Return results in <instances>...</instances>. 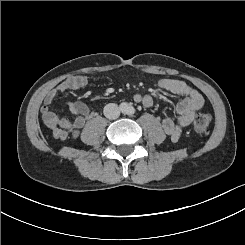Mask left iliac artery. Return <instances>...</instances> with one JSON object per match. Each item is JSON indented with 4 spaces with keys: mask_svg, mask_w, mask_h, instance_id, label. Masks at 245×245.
I'll list each match as a JSON object with an SVG mask.
<instances>
[{
    "mask_svg": "<svg viewBox=\"0 0 245 245\" xmlns=\"http://www.w3.org/2000/svg\"><path fill=\"white\" fill-rule=\"evenodd\" d=\"M127 115H134L135 114V108L133 106H129L126 110Z\"/></svg>",
    "mask_w": 245,
    "mask_h": 245,
    "instance_id": "left-iliac-artery-1",
    "label": "left iliac artery"
}]
</instances>
